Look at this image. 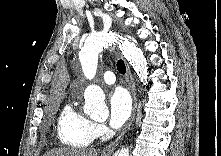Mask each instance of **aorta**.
<instances>
[{"mask_svg": "<svg viewBox=\"0 0 221 156\" xmlns=\"http://www.w3.org/2000/svg\"><path fill=\"white\" fill-rule=\"evenodd\" d=\"M119 45L123 56L133 66L141 82L146 85L149 75L147 61L139 47L129 38L113 31H102L86 38L79 53L82 69L87 79L95 77L99 53L110 46ZM85 105L83 111L94 120H104L109 111L105 104L103 90L97 85H89L84 92ZM128 147L122 148L115 156H129Z\"/></svg>", "mask_w": 221, "mask_h": 156, "instance_id": "762f6f07", "label": "aorta"}]
</instances>
